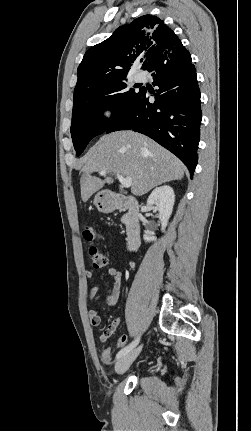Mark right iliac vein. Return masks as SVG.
<instances>
[{"instance_id":"obj_1","label":"right iliac vein","mask_w":251,"mask_h":431,"mask_svg":"<svg viewBox=\"0 0 251 431\" xmlns=\"http://www.w3.org/2000/svg\"><path fill=\"white\" fill-rule=\"evenodd\" d=\"M141 348L142 347L139 346V347L135 348L134 350L128 352L123 357H121L115 365V371L118 374H123L124 372H126V370L130 367V365L133 363V361L139 355Z\"/></svg>"}]
</instances>
